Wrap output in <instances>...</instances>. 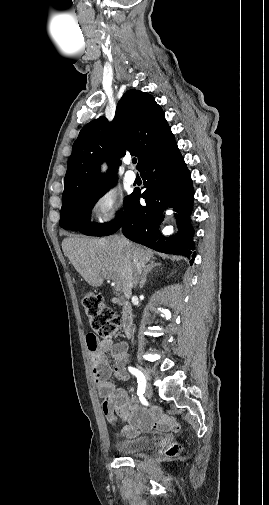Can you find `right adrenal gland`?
<instances>
[{"label": "right adrenal gland", "mask_w": 269, "mask_h": 505, "mask_svg": "<svg viewBox=\"0 0 269 505\" xmlns=\"http://www.w3.org/2000/svg\"><path fill=\"white\" fill-rule=\"evenodd\" d=\"M161 266V263H156L154 260H151L149 262V264L144 268V272H143V275H142V278H141V281H140V285H139V288L142 289L143 286L145 285L146 283V279H147V275L154 269V268H157V267H160Z\"/></svg>", "instance_id": "2a0ac1e0"}]
</instances>
